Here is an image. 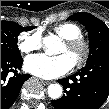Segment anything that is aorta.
Instances as JSON below:
<instances>
[{"label":"aorta","instance_id":"obj_1","mask_svg":"<svg viewBox=\"0 0 109 109\" xmlns=\"http://www.w3.org/2000/svg\"><path fill=\"white\" fill-rule=\"evenodd\" d=\"M43 42L48 53H55L56 47L59 44L58 37L53 35L47 36L44 38ZM62 91V87L58 83L50 84L48 86V95L52 99H59L62 95Z\"/></svg>","mask_w":109,"mask_h":109}]
</instances>
